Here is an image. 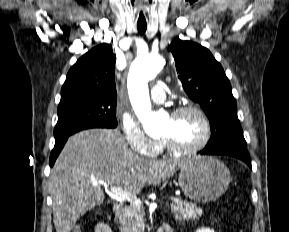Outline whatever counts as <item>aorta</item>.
<instances>
[{
	"instance_id": "aorta-1",
	"label": "aorta",
	"mask_w": 289,
	"mask_h": 232,
	"mask_svg": "<svg viewBox=\"0 0 289 232\" xmlns=\"http://www.w3.org/2000/svg\"><path fill=\"white\" fill-rule=\"evenodd\" d=\"M164 63L160 55L139 56L132 63L128 75V92L133 109L150 136L161 134L162 118L160 114L151 111L148 81L157 76Z\"/></svg>"
}]
</instances>
